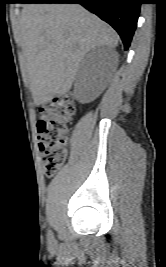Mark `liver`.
Here are the masks:
<instances>
[{
	"label": "liver",
	"instance_id": "1",
	"mask_svg": "<svg viewBox=\"0 0 166 267\" xmlns=\"http://www.w3.org/2000/svg\"><path fill=\"white\" fill-rule=\"evenodd\" d=\"M18 40L34 103L65 95L80 62L95 46L118 45L117 33L79 4H27L19 21Z\"/></svg>",
	"mask_w": 166,
	"mask_h": 267
}]
</instances>
